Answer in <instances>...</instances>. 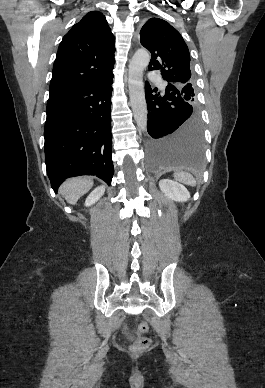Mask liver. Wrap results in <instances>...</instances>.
I'll return each mask as SVG.
<instances>
[{"instance_id": "1", "label": "liver", "mask_w": 265, "mask_h": 388, "mask_svg": "<svg viewBox=\"0 0 265 388\" xmlns=\"http://www.w3.org/2000/svg\"><path fill=\"white\" fill-rule=\"evenodd\" d=\"M92 186V178H70L60 186L59 192L68 204H76L81 196L91 190Z\"/></svg>"}]
</instances>
